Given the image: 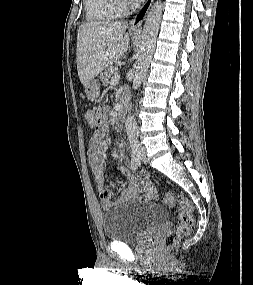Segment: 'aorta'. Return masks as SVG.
<instances>
[{
	"instance_id": "aorta-1",
	"label": "aorta",
	"mask_w": 253,
	"mask_h": 285,
	"mask_svg": "<svg viewBox=\"0 0 253 285\" xmlns=\"http://www.w3.org/2000/svg\"><path fill=\"white\" fill-rule=\"evenodd\" d=\"M163 12V5L161 0H157L151 7L141 37V42L138 51V57L135 64V71L133 76L134 90L140 86L149 66V62L154 53L156 38L158 35L161 18ZM126 131L129 135L136 134L138 131L137 123L132 115H128L125 122Z\"/></svg>"
}]
</instances>
